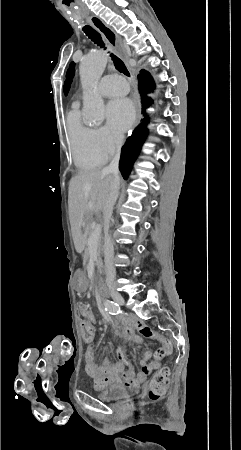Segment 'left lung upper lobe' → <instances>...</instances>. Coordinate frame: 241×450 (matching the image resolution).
I'll return each mask as SVG.
<instances>
[{
	"label": "left lung upper lobe",
	"instance_id": "obj_1",
	"mask_svg": "<svg viewBox=\"0 0 241 450\" xmlns=\"http://www.w3.org/2000/svg\"><path fill=\"white\" fill-rule=\"evenodd\" d=\"M74 67H75V63L71 62L70 66H69V69L67 70L66 81H65V84H64V94L65 95L68 94V91L70 89V84H71L72 78H73L74 73H75Z\"/></svg>",
	"mask_w": 241,
	"mask_h": 450
}]
</instances>
